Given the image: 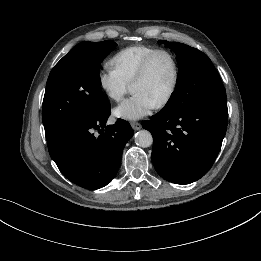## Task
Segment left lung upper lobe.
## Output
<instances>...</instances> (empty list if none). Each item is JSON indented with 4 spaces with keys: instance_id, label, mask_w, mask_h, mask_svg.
I'll return each instance as SVG.
<instances>
[{
    "instance_id": "obj_1",
    "label": "left lung upper lobe",
    "mask_w": 261,
    "mask_h": 261,
    "mask_svg": "<svg viewBox=\"0 0 261 261\" xmlns=\"http://www.w3.org/2000/svg\"><path fill=\"white\" fill-rule=\"evenodd\" d=\"M161 42L176 53L180 66L178 89L165 110L183 113L204 103L226 99L221 79L208 56L182 43Z\"/></svg>"
}]
</instances>
